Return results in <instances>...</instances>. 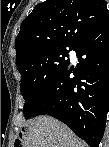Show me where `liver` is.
Segmentation results:
<instances>
[{
    "mask_svg": "<svg viewBox=\"0 0 109 147\" xmlns=\"http://www.w3.org/2000/svg\"><path fill=\"white\" fill-rule=\"evenodd\" d=\"M29 133L24 147H86L65 124L50 116H40L27 123Z\"/></svg>",
    "mask_w": 109,
    "mask_h": 147,
    "instance_id": "obj_1",
    "label": "liver"
}]
</instances>
